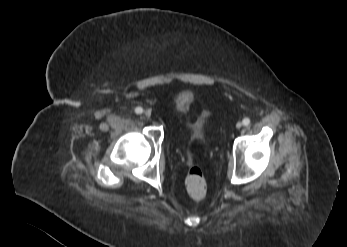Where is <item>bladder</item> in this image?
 <instances>
[{
	"instance_id": "31cf9c89",
	"label": "bladder",
	"mask_w": 347,
	"mask_h": 247,
	"mask_svg": "<svg viewBox=\"0 0 347 247\" xmlns=\"http://www.w3.org/2000/svg\"><path fill=\"white\" fill-rule=\"evenodd\" d=\"M189 109H190L189 99L185 95L181 94L177 100L178 112L182 115H186L189 112Z\"/></svg>"
}]
</instances>
